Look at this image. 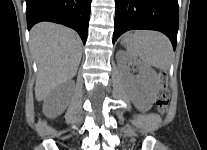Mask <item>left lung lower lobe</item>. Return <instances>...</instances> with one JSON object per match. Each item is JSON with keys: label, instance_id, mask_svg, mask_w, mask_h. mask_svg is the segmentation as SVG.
<instances>
[{"label": "left lung lower lobe", "instance_id": "0a47b994", "mask_svg": "<svg viewBox=\"0 0 207 150\" xmlns=\"http://www.w3.org/2000/svg\"><path fill=\"white\" fill-rule=\"evenodd\" d=\"M113 43L132 29L156 30L167 35L175 50L179 27L177 0H115Z\"/></svg>", "mask_w": 207, "mask_h": 150}]
</instances>
